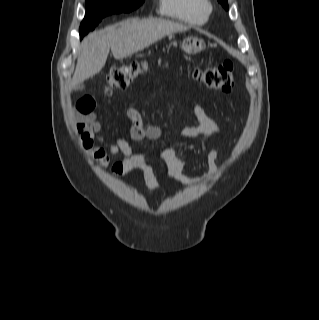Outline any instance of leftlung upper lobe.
Instances as JSON below:
<instances>
[{
	"label": "left lung upper lobe",
	"instance_id": "5c2ea615",
	"mask_svg": "<svg viewBox=\"0 0 319 320\" xmlns=\"http://www.w3.org/2000/svg\"><path fill=\"white\" fill-rule=\"evenodd\" d=\"M219 3L227 10L228 9V2L227 0H218Z\"/></svg>",
	"mask_w": 319,
	"mask_h": 320
}]
</instances>
